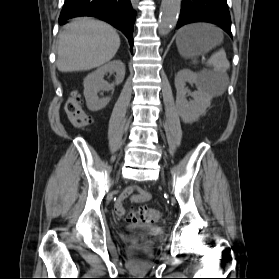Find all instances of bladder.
<instances>
[{"label": "bladder", "instance_id": "31cf9c89", "mask_svg": "<svg viewBox=\"0 0 279 279\" xmlns=\"http://www.w3.org/2000/svg\"><path fill=\"white\" fill-rule=\"evenodd\" d=\"M129 230L137 233H144L149 235L159 236L163 234V229L160 226H146V225H133L129 226Z\"/></svg>", "mask_w": 279, "mask_h": 279}]
</instances>
